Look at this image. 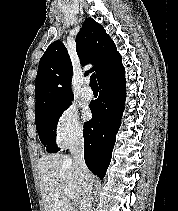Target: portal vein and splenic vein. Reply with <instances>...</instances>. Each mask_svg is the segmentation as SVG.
I'll return each mask as SVG.
<instances>
[{
    "instance_id": "obj_1",
    "label": "portal vein and splenic vein",
    "mask_w": 178,
    "mask_h": 211,
    "mask_svg": "<svg viewBox=\"0 0 178 211\" xmlns=\"http://www.w3.org/2000/svg\"><path fill=\"white\" fill-rule=\"evenodd\" d=\"M65 193L70 199L75 200V195L72 192L65 189Z\"/></svg>"
}]
</instances>
